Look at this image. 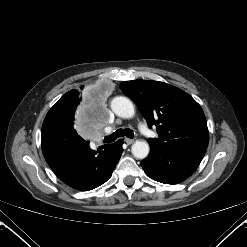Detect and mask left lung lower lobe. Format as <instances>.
Listing matches in <instances>:
<instances>
[{
    "instance_id": "obj_1",
    "label": "left lung lower lobe",
    "mask_w": 247,
    "mask_h": 247,
    "mask_svg": "<svg viewBox=\"0 0 247 247\" xmlns=\"http://www.w3.org/2000/svg\"><path fill=\"white\" fill-rule=\"evenodd\" d=\"M206 147L184 144L164 148L150 144V153L141 162L145 173L155 181L177 184L187 179L199 166Z\"/></svg>"
}]
</instances>
